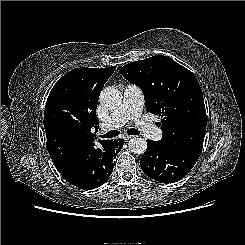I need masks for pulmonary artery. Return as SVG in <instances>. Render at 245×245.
<instances>
[{
    "label": "pulmonary artery",
    "mask_w": 245,
    "mask_h": 245,
    "mask_svg": "<svg viewBox=\"0 0 245 245\" xmlns=\"http://www.w3.org/2000/svg\"><path fill=\"white\" fill-rule=\"evenodd\" d=\"M143 105L144 96L142 90L138 86L127 84L124 87L121 105L101 125V131L117 129L123 126L128 120L135 119L139 122L140 131L144 137L152 140H160L162 137L161 130L151 123L141 120Z\"/></svg>",
    "instance_id": "obj_1"
}]
</instances>
